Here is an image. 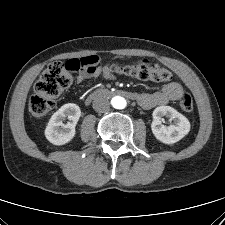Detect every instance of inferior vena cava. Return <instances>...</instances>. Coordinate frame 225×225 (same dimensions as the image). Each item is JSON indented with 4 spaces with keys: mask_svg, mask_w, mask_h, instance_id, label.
<instances>
[{
    "mask_svg": "<svg viewBox=\"0 0 225 225\" xmlns=\"http://www.w3.org/2000/svg\"><path fill=\"white\" fill-rule=\"evenodd\" d=\"M93 108L99 113H104L110 109V103L105 97L98 96L93 101Z\"/></svg>",
    "mask_w": 225,
    "mask_h": 225,
    "instance_id": "inferior-vena-cava-1",
    "label": "inferior vena cava"
}]
</instances>
